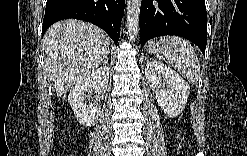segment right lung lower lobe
Returning <instances> with one entry per match:
<instances>
[{
  "label": "right lung lower lobe",
  "mask_w": 247,
  "mask_h": 156,
  "mask_svg": "<svg viewBox=\"0 0 247 156\" xmlns=\"http://www.w3.org/2000/svg\"><path fill=\"white\" fill-rule=\"evenodd\" d=\"M125 0H47L42 36L53 23L75 18L91 22L119 40Z\"/></svg>",
  "instance_id": "right-lung-lower-lobe-1"
}]
</instances>
